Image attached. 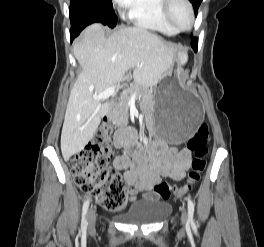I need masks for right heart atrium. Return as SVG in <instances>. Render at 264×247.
Returning a JSON list of instances; mask_svg holds the SVG:
<instances>
[{
    "instance_id": "d8ad5b80",
    "label": "right heart atrium",
    "mask_w": 264,
    "mask_h": 247,
    "mask_svg": "<svg viewBox=\"0 0 264 247\" xmlns=\"http://www.w3.org/2000/svg\"><path fill=\"white\" fill-rule=\"evenodd\" d=\"M133 0H114L120 13L126 12Z\"/></svg>"
}]
</instances>
